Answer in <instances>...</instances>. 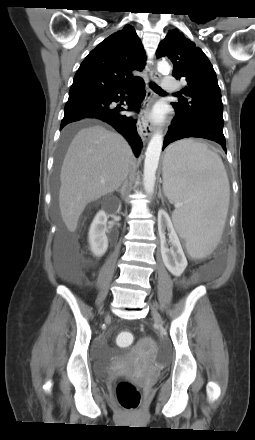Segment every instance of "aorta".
<instances>
[{"label":"aorta","mask_w":255,"mask_h":440,"mask_svg":"<svg viewBox=\"0 0 255 440\" xmlns=\"http://www.w3.org/2000/svg\"><path fill=\"white\" fill-rule=\"evenodd\" d=\"M160 73H169L170 65L166 61H160L157 67ZM163 146V136L156 132L151 138L144 161L143 184L147 194L152 195L155 187V174L159 163V157Z\"/></svg>","instance_id":"aorta-1"}]
</instances>
